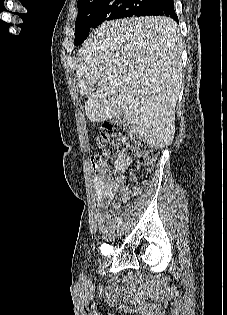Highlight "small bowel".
I'll list each match as a JSON object with an SVG mask.
<instances>
[{"instance_id": "c3829d8e", "label": "small bowel", "mask_w": 227, "mask_h": 315, "mask_svg": "<svg viewBox=\"0 0 227 315\" xmlns=\"http://www.w3.org/2000/svg\"><path fill=\"white\" fill-rule=\"evenodd\" d=\"M132 161L124 153L118 155L114 162V177L108 181L94 179V189L96 194V207L98 209L97 229L99 232H105L109 222L116 223L118 215L122 210V205L117 203L112 210H106V202L111 201L116 193H120L123 201H126L132 195V191L125 184V173L131 169Z\"/></svg>"}]
</instances>
